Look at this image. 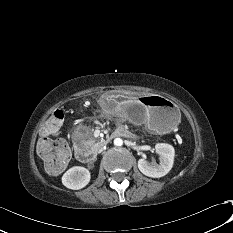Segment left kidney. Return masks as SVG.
<instances>
[{"label":"left kidney","instance_id":"left-kidney-1","mask_svg":"<svg viewBox=\"0 0 233 233\" xmlns=\"http://www.w3.org/2000/svg\"><path fill=\"white\" fill-rule=\"evenodd\" d=\"M156 153L159 155L160 163L148 162L145 158L138 160L139 170L146 176L160 178L165 176L173 167L175 150L172 145L158 143L155 145Z\"/></svg>","mask_w":233,"mask_h":233}]
</instances>
